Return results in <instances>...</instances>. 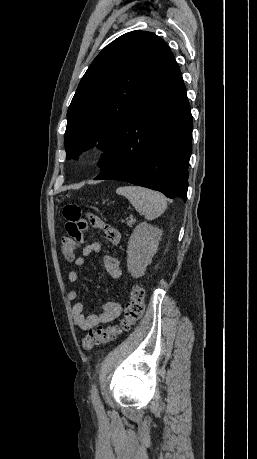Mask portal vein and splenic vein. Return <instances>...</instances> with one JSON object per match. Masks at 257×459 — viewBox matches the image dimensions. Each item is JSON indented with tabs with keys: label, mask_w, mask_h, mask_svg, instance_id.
I'll list each match as a JSON object with an SVG mask.
<instances>
[{
	"label": "portal vein and splenic vein",
	"mask_w": 257,
	"mask_h": 459,
	"mask_svg": "<svg viewBox=\"0 0 257 459\" xmlns=\"http://www.w3.org/2000/svg\"><path fill=\"white\" fill-rule=\"evenodd\" d=\"M132 222H133V221H128V222H127V224H128V225H131V224H132Z\"/></svg>",
	"instance_id": "1"
}]
</instances>
